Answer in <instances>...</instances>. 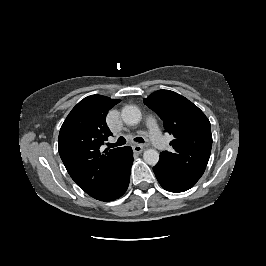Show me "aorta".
<instances>
[{"mask_svg": "<svg viewBox=\"0 0 266 266\" xmlns=\"http://www.w3.org/2000/svg\"><path fill=\"white\" fill-rule=\"evenodd\" d=\"M121 116L128 125H136L141 121L142 115L138 107L127 105L122 109ZM144 161L149 165H156L159 161V153L155 149H147L143 153Z\"/></svg>", "mask_w": 266, "mask_h": 266, "instance_id": "obj_1", "label": "aorta"}]
</instances>
